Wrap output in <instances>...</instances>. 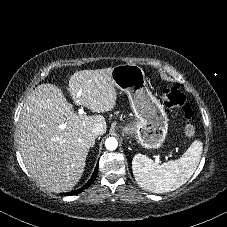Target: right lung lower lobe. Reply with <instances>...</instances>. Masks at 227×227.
Returning <instances> with one entry per match:
<instances>
[{
	"instance_id": "98d812e1",
	"label": "right lung lower lobe",
	"mask_w": 227,
	"mask_h": 227,
	"mask_svg": "<svg viewBox=\"0 0 227 227\" xmlns=\"http://www.w3.org/2000/svg\"><path fill=\"white\" fill-rule=\"evenodd\" d=\"M97 172H98V165L96 166L95 171H94L92 177L90 178V180L83 187H81L75 191L65 193V194L66 195H75V194L81 193L84 189L88 188L94 182Z\"/></svg>"
}]
</instances>
